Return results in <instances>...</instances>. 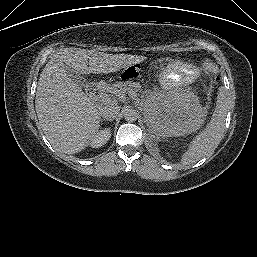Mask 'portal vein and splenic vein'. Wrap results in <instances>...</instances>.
<instances>
[{
    "label": "portal vein and splenic vein",
    "instance_id": "1",
    "mask_svg": "<svg viewBox=\"0 0 257 257\" xmlns=\"http://www.w3.org/2000/svg\"><path fill=\"white\" fill-rule=\"evenodd\" d=\"M129 95H130V96H134V93H133L132 91H129ZM102 100H103L104 102H109L110 99H109V97H106V96H105V97L102 98Z\"/></svg>",
    "mask_w": 257,
    "mask_h": 257
}]
</instances>
